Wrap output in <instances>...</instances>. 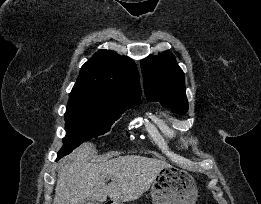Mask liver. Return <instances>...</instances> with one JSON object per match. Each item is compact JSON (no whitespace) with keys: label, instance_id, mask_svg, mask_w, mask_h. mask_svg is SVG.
Returning a JSON list of instances; mask_svg holds the SVG:
<instances>
[{"label":"liver","instance_id":"liver-1","mask_svg":"<svg viewBox=\"0 0 261 204\" xmlns=\"http://www.w3.org/2000/svg\"><path fill=\"white\" fill-rule=\"evenodd\" d=\"M92 143H84L60 163L53 204H81L112 199L113 204L138 199L169 166L160 159L140 155L119 156L97 162ZM112 181L106 185V179Z\"/></svg>","mask_w":261,"mask_h":204}]
</instances>
